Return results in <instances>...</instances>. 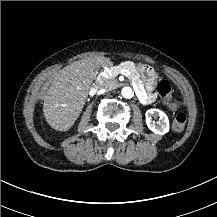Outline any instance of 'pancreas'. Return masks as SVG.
<instances>
[{
    "label": "pancreas",
    "instance_id": "obj_1",
    "mask_svg": "<svg viewBox=\"0 0 217 217\" xmlns=\"http://www.w3.org/2000/svg\"><path fill=\"white\" fill-rule=\"evenodd\" d=\"M133 65L134 64L131 61L124 62V63L122 62L119 65H117L115 68H113V70L111 69L112 70L111 74L114 76L119 71V68H122L124 66L123 68H126L130 73L129 75L130 81L135 82V84L139 86L142 83V81L140 79V74L138 73L137 69Z\"/></svg>",
    "mask_w": 217,
    "mask_h": 217
}]
</instances>
